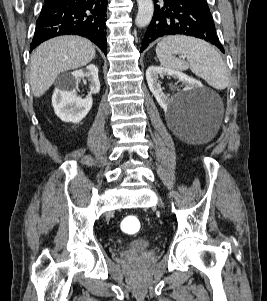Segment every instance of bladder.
<instances>
[{
    "label": "bladder",
    "mask_w": 267,
    "mask_h": 301,
    "mask_svg": "<svg viewBox=\"0 0 267 301\" xmlns=\"http://www.w3.org/2000/svg\"><path fill=\"white\" fill-rule=\"evenodd\" d=\"M151 245L152 242L150 239L146 237H140L132 242L131 247L135 249H146L149 248Z\"/></svg>",
    "instance_id": "bladder-1"
}]
</instances>
